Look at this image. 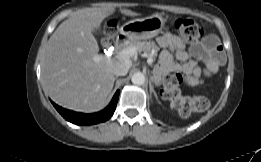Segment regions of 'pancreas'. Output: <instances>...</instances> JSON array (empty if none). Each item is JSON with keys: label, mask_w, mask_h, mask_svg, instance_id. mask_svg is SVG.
<instances>
[{"label": "pancreas", "mask_w": 261, "mask_h": 162, "mask_svg": "<svg viewBox=\"0 0 261 162\" xmlns=\"http://www.w3.org/2000/svg\"><path fill=\"white\" fill-rule=\"evenodd\" d=\"M129 46L136 47L139 52L143 51V52L151 53L152 51H154L152 55L154 59L156 58L157 52L159 51V47L155 44L154 41L135 40V41H131L129 43Z\"/></svg>", "instance_id": "pancreas-1"}]
</instances>
